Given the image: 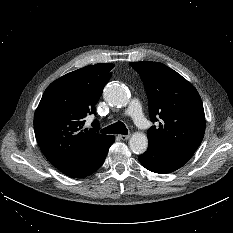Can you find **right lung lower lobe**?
<instances>
[{
    "instance_id": "obj_1",
    "label": "right lung lower lobe",
    "mask_w": 233,
    "mask_h": 233,
    "mask_svg": "<svg viewBox=\"0 0 233 233\" xmlns=\"http://www.w3.org/2000/svg\"><path fill=\"white\" fill-rule=\"evenodd\" d=\"M115 137L112 136L109 141L94 155L88 157L83 162L62 170L61 172L69 177L82 178L97 171L103 164L110 146L114 143Z\"/></svg>"
}]
</instances>
